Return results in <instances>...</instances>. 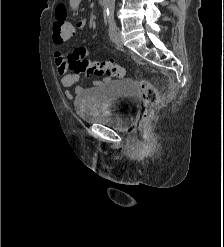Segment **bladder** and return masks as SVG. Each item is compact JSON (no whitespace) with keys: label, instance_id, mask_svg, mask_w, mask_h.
Masks as SVG:
<instances>
[{"label":"bladder","instance_id":"obj_1","mask_svg":"<svg viewBox=\"0 0 224 247\" xmlns=\"http://www.w3.org/2000/svg\"><path fill=\"white\" fill-rule=\"evenodd\" d=\"M140 106L137 84L129 79L109 80L86 89L75 103L79 118L87 124L129 130Z\"/></svg>","mask_w":224,"mask_h":247}]
</instances>
